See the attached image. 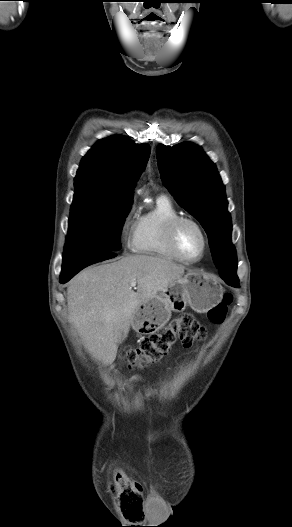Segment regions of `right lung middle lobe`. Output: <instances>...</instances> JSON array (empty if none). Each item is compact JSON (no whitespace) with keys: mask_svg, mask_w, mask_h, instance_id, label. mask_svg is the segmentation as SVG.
<instances>
[{"mask_svg":"<svg viewBox=\"0 0 292 527\" xmlns=\"http://www.w3.org/2000/svg\"><path fill=\"white\" fill-rule=\"evenodd\" d=\"M132 200L116 201L91 190H75L64 255L121 249L122 226Z\"/></svg>","mask_w":292,"mask_h":527,"instance_id":"1","label":"right lung middle lobe"}]
</instances>
